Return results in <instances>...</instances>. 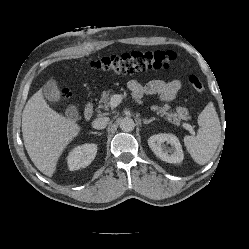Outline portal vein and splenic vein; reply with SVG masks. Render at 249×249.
Masks as SVG:
<instances>
[{
    "mask_svg": "<svg viewBox=\"0 0 249 249\" xmlns=\"http://www.w3.org/2000/svg\"><path fill=\"white\" fill-rule=\"evenodd\" d=\"M121 101H122V95L114 94L113 96H111L109 104H110L111 108H115L121 103ZM183 127L185 129L189 130L192 134H194V131L192 130L191 125L184 123Z\"/></svg>",
    "mask_w": 249,
    "mask_h": 249,
    "instance_id": "portal-vein-and-splenic-vein-1",
    "label": "portal vein and splenic vein"
}]
</instances>
